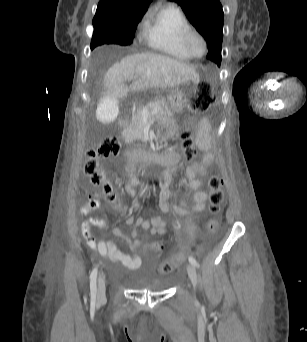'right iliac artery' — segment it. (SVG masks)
<instances>
[{
    "label": "right iliac artery",
    "mask_w": 307,
    "mask_h": 342,
    "mask_svg": "<svg viewBox=\"0 0 307 342\" xmlns=\"http://www.w3.org/2000/svg\"><path fill=\"white\" fill-rule=\"evenodd\" d=\"M97 267L94 268L91 272L90 275V292H91V298H92V303H95L96 299V293H97Z\"/></svg>",
    "instance_id": "82829eb1"
}]
</instances>
